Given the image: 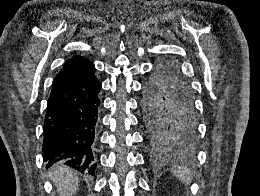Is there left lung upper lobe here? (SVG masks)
<instances>
[{
  "label": "left lung upper lobe",
  "mask_w": 260,
  "mask_h": 196,
  "mask_svg": "<svg viewBox=\"0 0 260 196\" xmlns=\"http://www.w3.org/2000/svg\"><path fill=\"white\" fill-rule=\"evenodd\" d=\"M142 121L146 141L158 152L193 146L198 117L188 81L175 61L160 63L144 85Z\"/></svg>",
  "instance_id": "left-lung-upper-lobe-1"
}]
</instances>
